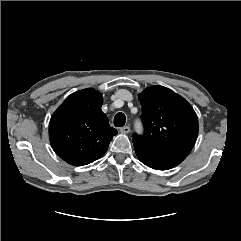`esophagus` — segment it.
Segmentation results:
<instances>
[{"label":"esophagus","mask_w":241,"mask_h":241,"mask_svg":"<svg viewBox=\"0 0 241 241\" xmlns=\"http://www.w3.org/2000/svg\"><path fill=\"white\" fill-rule=\"evenodd\" d=\"M119 131L121 133H123V134H128L130 132V127L129 126H124V127L120 128Z\"/></svg>","instance_id":"34e87169"}]
</instances>
